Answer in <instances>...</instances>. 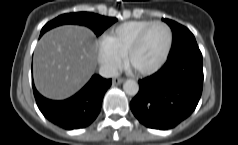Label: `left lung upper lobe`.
I'll list each match as a JSON object with an SVG mask.
<instances>
[{
    "instance_id": "5c2ea615",
    "label": "left lung upper lobe",
    "mask_w": 238,
    "mask_h": 145,
    "mask_svg": "<svg viewBox=\"0 0 238 145\" xmlns=\"http://www.w3.org/2000/svg\"><path fill=\"white\" fill-rule=\"evenodd\" d=\"M163 21H165L171 27L173 32V43H172V49L170 51V55H173L184 48L197 46L195 37L190 32L189 29L183 26L182 32L181 31L176 32L174 31V29L180 24L169 19H163Z\"/></svg>"
}]
</instances>
